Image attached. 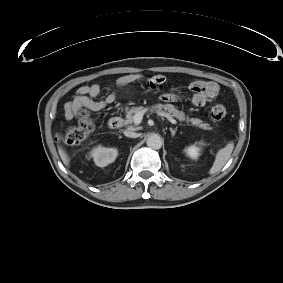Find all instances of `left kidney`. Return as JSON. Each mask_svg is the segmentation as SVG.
<instances>
[{
	"instance_id": "left-kidney-1",
	"label": "left kidney",
	"mask_w": 283,
	"mask_h": 283,
	"mask_svg": "<svg viewBox=\"0 0 283 283\" xmlns=\"http://www.w3.org/2000/svg\"><path fill=\"white\" fill-rule=\"evenodd\" d=\"M185 152L189 157L196 159L200 154V148L195 145H191L185 149Z\"/></svg>"
}]
</instances>
